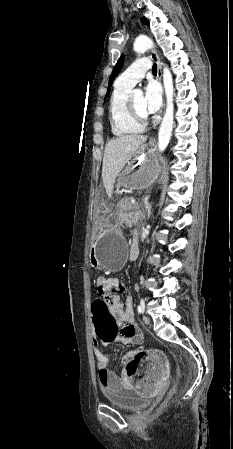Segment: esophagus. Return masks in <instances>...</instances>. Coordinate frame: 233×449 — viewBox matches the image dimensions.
<instances>
[{
    "label": "esophagus",
    "instance_id": "esophagus-1",
    "mask_svg": "<svg viewBox=\"0 0 233 449\" xmlns=\"http://www.w3.org/2000/svg\"><path fill=\"white\" fill-rule=\"evenodd\" d=\"M151 58H152V59L156 62V64H157V67H158L157 77H158V80L161 82V79H162V65H161L160 59H159L157 53H155V52H153V51L151 52Z\"/></svg>",
    "mask_w": 233,
    "mask_h": 449
}]
</instances>
